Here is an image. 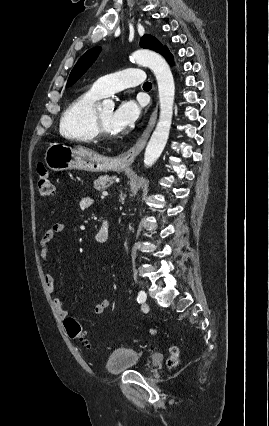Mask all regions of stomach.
<instances>
[{"instance_id": "1", "label": "stomach", "mask_w": 269, "mask_h": 426, "mask_svg": "<svg viewBox=\"0 0 269 426\" xmlns=\"http://www.w3.org/2000/svg\"><path fill=\"white\" fill-rule=\"evenodd\" d=\"M44 161L52 171L85 170L89 172L124 171L128 165L119 159L103 157L81 146L50 143Z\"/></svg>"}]
</instances>
